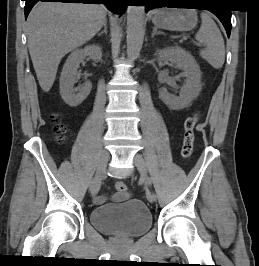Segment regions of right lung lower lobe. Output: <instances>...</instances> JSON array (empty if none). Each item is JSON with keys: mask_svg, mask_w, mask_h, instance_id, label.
Returning a JSON list of instances; mask_svg holds the SVG:
<instances>
[{"mask_svg": "<svg viewBox=\"0 0 259 266\" xmlns=\"http://www.w3.org/2000/svg\"><path fill=\"white\" fill-rule=\"evenodd\" d=\"M25 18H27L32 7L38 2H62V3H84V4H104L115 14L122 15L129 0H25Z\"/></svg>", "mask_w": 259, "mask_h": 266, "instance_id": "98d812e1", "label": "right lung lower lobe"}]
</instances>
